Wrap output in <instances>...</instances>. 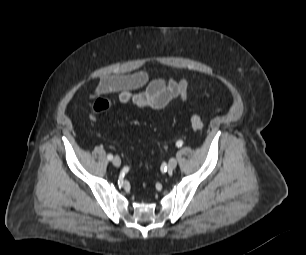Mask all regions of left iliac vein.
<instances>
[{
  "label": "left iliac vein",
  "instance_id": "obj_1",
  "mask_svg": "<svg viewBox=\"0 0 306 255\" xmlns=\"http://www.w3.org/2000/svg\"><path fill=\"white\" fill-rule=\"evenodd\" d=\"M177 166V159L176 158H171L169 161H168V170L169 171H172L176 168Z\"/></svg>",
  "mask_w": 306,
  "mask_h": 255
}]
</instances>
